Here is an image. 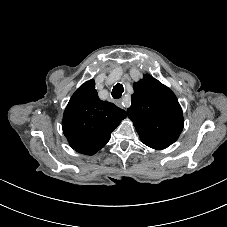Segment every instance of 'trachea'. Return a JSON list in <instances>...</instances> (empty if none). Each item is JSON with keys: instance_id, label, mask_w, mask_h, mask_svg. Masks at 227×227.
<instances>
[{"instance_id": "obj_1", "label": "trachea", "mask_w": 227, "mask_h": 227, "mask_svg": "<svg viewBox=\"0 0 227 227\" xmlns=\"http://www.w3.org/2000/svg\"><path fill=\"white\" fill-rule=\"evenodd\" d=\"M124 92V87L122 84H116L112 89V97L114 99H119L122 96V93Z\"/></svg>"}]
</instances>
